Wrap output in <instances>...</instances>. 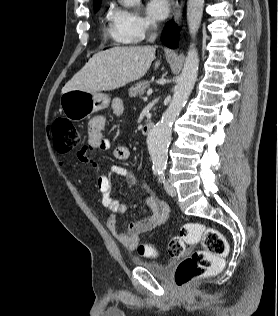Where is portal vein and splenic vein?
Listing matches in <instances>:
<instances>
[{
	"instance_id": "18ae733b",
	"label": "portal vein and splenic vein",
	"mask_w": 278,
	"mask_h": 316,
	"mask_svg": "<svg viewBox=\"0 0 278 316\" xmlns=\"http://www.w3.org/2000/svg\"><path fill=\"white\" fill-rule=\"evenodd\" d=\"M152 92H153V91H152V89H151V88H150V89H148V91H147V95H148V96H149V95H151V94H152ZM144 100H147V97H145V98H144Z\"/></svg>"
}]
</instances>
